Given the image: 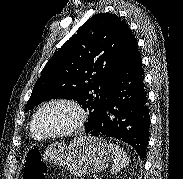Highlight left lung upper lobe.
<instances>
[{
  "instance_id": "obj_1",
  "label": "left lung upper lobe",
  "mask_w": 183,
  "mask_h": 179,
  "mask_svg": "<svg viewBox=\"0 0 183 179\" xmlns=\"http://www.w3.org/2000/svg\"><path fill=\"white\" fill-rule=\"evenodd\" d=\"M130 29L110 13L88 19L52 56L34 85L25 112L45 100H77L88 112L87 131L95 124Z\"/></svg>"
}]
</instances>
